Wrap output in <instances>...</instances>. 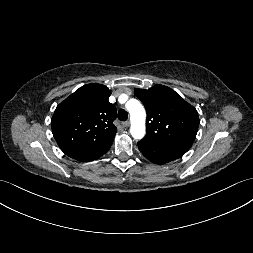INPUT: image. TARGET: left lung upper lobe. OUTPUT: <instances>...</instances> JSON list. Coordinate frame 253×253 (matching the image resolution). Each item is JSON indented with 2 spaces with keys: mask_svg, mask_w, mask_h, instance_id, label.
Returning a JSON list of instances; mask_svg holds the SVG:
<instances>
[{
  "mask_svg": "<svg viewBox=\"0 0 253 253\" xmlns=\"http://www.w3.org/2000/svg\"><path fill=\"white\" fill-rule=\"evenodd\" d=\"M147 111L144 144L185 154L192 146L199 125L197 110L167 86L136 89Z\"/></svg>",
  "mask_w": 253,
  "mask_h": 253,
  "instance_id": "1",
  "label": "left lung upper lobe"
}]
</instances>
